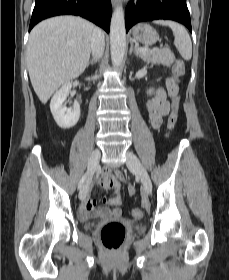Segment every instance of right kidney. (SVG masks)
<instances>
[{
    "label": "right kidney",
    "mask_w": 229,
    "mask_h": 280,
    "mask_svg": "<svg viewBox=\"0 0 229 280\" xmlns=\"http://www.w3.org/2000/svg\"><path fill=\"white\" fill-rule=\"evenodd\" d=\"M71 87L70 82L65 83L56 91L50 102V110L54 120L63 129H69L76 125L80 117V105L78 102H74L73 107L69 109L63 105L69 96Z\"/></svg>",
    "instance_id": "right-kidney-1"
}]
</instances>
